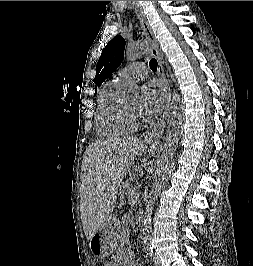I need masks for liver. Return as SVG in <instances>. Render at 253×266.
<instances>
[{
  "label": "liver",
  "mask_w": 253,
  "mask_h": 266,
  "mask_svg": "<svg viewBox=\"0 0 253 266\" xmlns=\"http://www.w3.org/2000/svg\"><path fill=\"white\" fill-rule=\"evenodd\" d=\"M144 143L134 137L98 140L84 154L81 174V219L87 240L111 217L118 189Z\"/></svg>",
  "instance_id": "obj_1"
}]
</instances>
